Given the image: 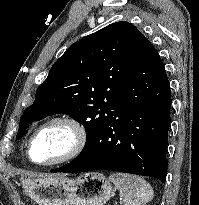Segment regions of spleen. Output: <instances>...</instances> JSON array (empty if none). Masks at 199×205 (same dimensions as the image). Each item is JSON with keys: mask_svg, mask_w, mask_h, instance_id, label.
<instances>
[{"mask_svg": "<svg viewBox=\"0 0 199 205\" xmlns=\"http://www.w3.org/2000/svg\"><path fill=\"white\" fill-rule=\"evenodd\" d=\"M109 180L119 189L124 205H146L154 196L150 184L141 177L117 172Z\"/></svg>", "mask_w": 199, "mask_h": 205, "instance_id": "obj_1", "label": "spleen"}]
</instances>
